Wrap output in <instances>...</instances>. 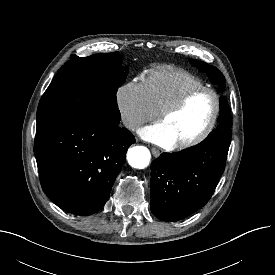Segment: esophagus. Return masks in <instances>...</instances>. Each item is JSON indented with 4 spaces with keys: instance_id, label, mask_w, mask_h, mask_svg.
I'll list each match as a JSON object with an SVG mask.
<instances>
[{
    "instance_id": "obj_1",
    "label": "esophagus",
    "mask_w": 275,
    "mask_h": 275,
    "mask_svg": "<svg viewBox=\"0 0 275 275\" xmlns=\"http://www.w3.org/2000/svg\"><path fill=\"white\" fill-rule=\"evenodd\" d=\"M151 152H152L153 156H155V157L160 156V151L156 148H151Z\"/></svg>"
}]
</instances>
